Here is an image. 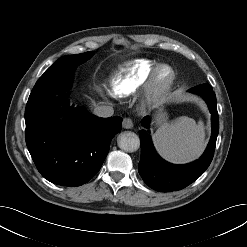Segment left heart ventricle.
Returning <instances> with one entry per match:
<instances>
[{"label":"left heart ventricle","mask_w":247,"mask_h":247,"mask_svg":"<svg viewBox=\"0 0 247 247\" xmlns=\"http://www.w3.org/2000/svg\"><path fill=\"white\" fill-rule=\"evenodd\" d=\"M168 76V72L167 71H164L162 74H161V80H165Z\"/></svg>","instance_id":"left-heart-ventricle-1"}]
</instances>
